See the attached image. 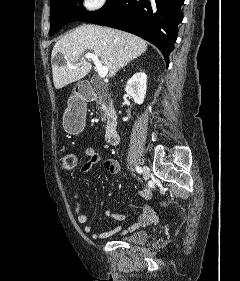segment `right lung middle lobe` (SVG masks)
Instances as JSON below:
<instances>
[{"instance_id": "obj_1", "label": "right lung middle lobe", "mask_w": 240, "mask_h": 281, "mask_svg": "<svg viewBox=\"0 0 240 281\" xmlns=\"http://www.w3.org/2000/svg\"><path fill=\"white\" fill-rule=\"evenodd\" d=\"M118 0H107L106 4L95 12H87L81 0H51L50 1V31L53 35L62 26L72 21L92 22L110 11Z\"/></svg>"}]
</instances>
